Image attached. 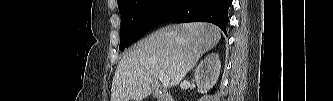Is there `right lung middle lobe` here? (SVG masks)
Returning a JSON list of instances; mask_svg holds the SVG:
<instances>
[{
	"label": "right lung middle lobe",
	"instance_id": "obj_1",
	"mask_svg": "<svg viewBox=\"0 0 333 101\" xmlns=\"http://www.w3.org/2000/svg\"><path fill=\"white\" fill-rule=\"evenodd\" d=\"M171 0H120L118 1L121 20L122 51L157 24L162 23Z\"/></svg>",
	"mask_w": 333,
	"mask_h": 101
}]
</instances>
